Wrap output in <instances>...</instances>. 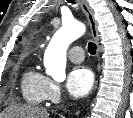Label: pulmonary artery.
I'll return each mask as SVG.
<instances>
[{
    "instance_id": "1",
    "label": "pulmonary artery",
    "mask_w": 133,
    "mask_h": 118,
    "mask_svg": "<svg viewBox=\"0 0 133 118\" xmlns=\"http://www.w3.org/2000/svg\"><path fill=\"white\" fill-rule=\"evenodd\" d=\"M68 57L69 59L74 62V63H80L84 60V51L81 46H73L69 51H68Z\"/></svg>"
}]
</instances>
